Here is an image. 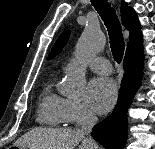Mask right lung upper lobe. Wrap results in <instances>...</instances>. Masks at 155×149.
Segmentation results:
<instances>
[{"label": "right lung upper lobe", "mask_w": 155, "mask_h": 149, "mask_svg": "<svg viewBox=\"0 0 155 149\" xmlns=\"http://www.w3.org/2000/svg\"><path fill=\"white\" fill-rule=\"evenodd\" d=\"M123 26L130 32V40L127 43L126 57L137 58L143 56V40L140 23L134 9L128 3L122 1L120 8Z\"/></svg>", "instance_id": "1"}]
</instances>
